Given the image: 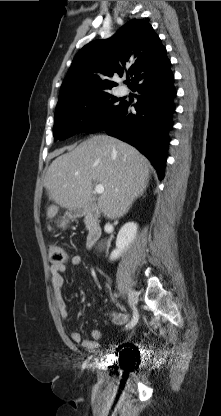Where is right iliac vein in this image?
I'll return each instance as SVG.
<instances>
[{
	"label": "right iliac vein",
	"mask_w": 221,
	"mask_h": 416,
	"mask_svg": "<svg viewBox=\"0 0 221 416\" xmlns=\"http://www.w3.org/2000/svg\"><path fill=\"white\" fill-rule=\"evenodd\" d=\"M129 301L130 304L135 308L137 302H138V294L135 291H130L129 292Z\"/></svg>",
	"instance_id": "obj_1"
}]
</instances>
